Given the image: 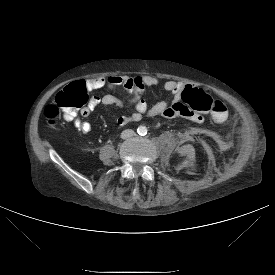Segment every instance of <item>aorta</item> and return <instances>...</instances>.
I'll use <instances>...</instances> for the list:
<instances>
[{
  "label": "aorta",
  "instance_id": "obj_1",
  "mask_svg": "<svg viewBox=\"0 0 275 275\" xmlns=\"http://www.w3.org/2000/svg\"><path fill=\"white\" fill-rule=\"evenodd\" d=\"M137 132L139 135H145L147 133V128L145 126H139Z\"/></svg>",
  "mask_w": 275,
  "mask_h": 275
}]
</instances>
